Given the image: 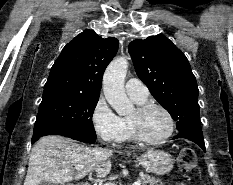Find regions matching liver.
Returning a JSON list of instances; mask_svg holds the SVG:
<instances>
[{
    "instance_id": "6515ba94",
    "label": "liver",
    "mask_w": 233,
    "mask_h": 185,
    "mask_svg": "<svg viewBox=\"0 0 233 185\" xmlns=\"http://www.w3.org/2000/svg\"><path fill=\"white\" fill-rule=\"evenodd\" d=\"M111 149L90 148L61 136H45L33 146L27 175L23 185H38L40 182L64 184L79 180L95 171L97 177H106L111 170ZM76 165L82 170L74 172Z\"/></svg>"
}]
</instances>
